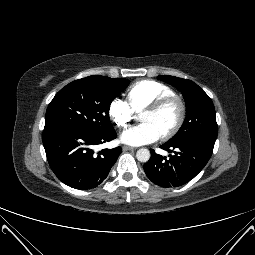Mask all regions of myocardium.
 Wrapping results in <instances>:
<instances>
[{
  "label": "myocardium",
  "instance_id": "1",
  "mask_svg": "<svg viewBox=\"0 0 255 255\" xmlns=\"http://www.w3.org/2000/svg\"><path fill=\"white\" fill-rule=\"evenodd\" d=\"M176 104L178 107V117L175 123L171 128H169L167 131H165L163 134H161L162 139H168L174 136L182 127L185 118H186V104L185 101L176 94H171L164 96L153 103L149 104L147 107L144 108V111L148 112H159L163 110L165 107Z\"/></svg>",
  "mask_w": 255,
  "mask_h": 255
}]
</instances>
